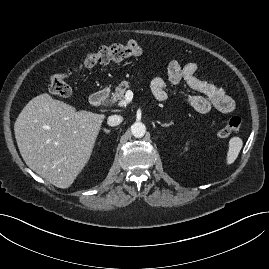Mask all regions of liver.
Returning a JSON list of instances; mask_svg holds the SVG:
<instances>
[{
    "mask_svg": "<svg viewBox=\"0 0 269 269\" xmlns=\"http://www.w3.org/2000/svg\"><path fill=\"white\" fill-rule=\"evenodd\" d=\"M104 118L40 94L26 104L14 124L20 154L46 181L69 188L88 163Z\"/></svg>",
    "mask_w": 269,
    "mask_h": 269,
    "instance_id": "obj_1",
    "label": "liver"
}]
</instances>
